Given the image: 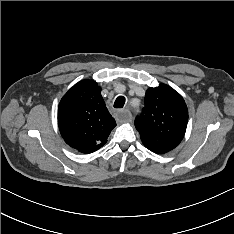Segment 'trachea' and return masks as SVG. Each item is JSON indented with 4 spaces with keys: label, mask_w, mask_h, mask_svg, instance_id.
Instances as JSON below:
<instances>
[{
    "label": "trachea",
    "mask_w": 234,
    "mask_h": 234,
    "mask_svg": "<svg viewBox=\"0 0 234 234\" xmlns=\"http://www.w3.org/2000/svg\"><path fill=\"white\" fill-rule=\"evenodd\" d=\"M125 104V97L119 96L114 102V108H123Z\"/></svg>",
    "instance_id": "3493384b"
}]
</instances>
